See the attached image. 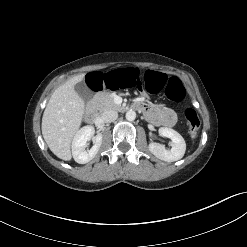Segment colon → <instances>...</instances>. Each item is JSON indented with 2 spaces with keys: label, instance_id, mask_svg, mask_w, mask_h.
<instances>
[{
  "label": "colon",
  "instance_id": "colon-1",
  "mask_svg": "<svg viewBox=\"0 0 247 247\" xmlns=\"http://www.w3.org/2000/svg\"><path fill=\"white\" fill-rule=\"evenodd\" d=\"M85 87L91 93L123 92L135 90L138 93H158L164 90L166 97L180 102L185 97V88L176 78H167L157 72H144L139 67L121 66L108 70H94L85 78ZM189 133L196 136L200 128V118L196 110L187 108L184 112Z\"/></svg>",
  "mask_w": 247,
  "mask_h": 247
}]
</instances>
